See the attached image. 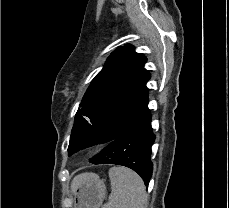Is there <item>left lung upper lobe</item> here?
<instances>
[{"mask_svg": "<svg viewBox=\"0 0 229 208\" xmlns=\"http://www.w3.org/2000/svg\"><path fill=\"white\" fill-rule=\"evenodd\" d=\"M146 60L129 44L108 57L79 105L68 152L98 132L126 128L149 112Z\"/></svg>", "mask_w": 229, "mask_h": 208, "instance_id": "1", "label": "left lung upper lobe"}]
</instances>
